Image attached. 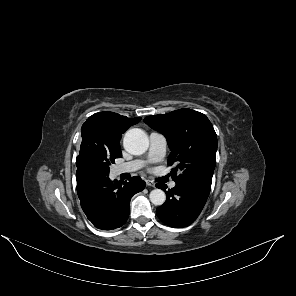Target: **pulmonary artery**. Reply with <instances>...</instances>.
I'll return each instance as SVG.
<instances>
[{
	"instance_id": "1",
	"label": "pulmonary artery",
	"mask_w": 296,
	"mask_h": 296,
	"mask_svg": "<svg viewBox=\"0 0 296 296\" xmlns=\"http://www.w3.org/2000/svg\"><path fill=\"white\" fill-rule=\"evenodd\" d=\"M150 148L148 152V160L143 161L140 159L131 160L128 162H124L119 164L115 168V172L117 174L121 173H131L142 169L147 162H158L160 161L166 153L167 141L164 135L158 132L150 133ZM176 183L172 181L170 183V187H175Z\"/></svg>"
}]
</instances>
